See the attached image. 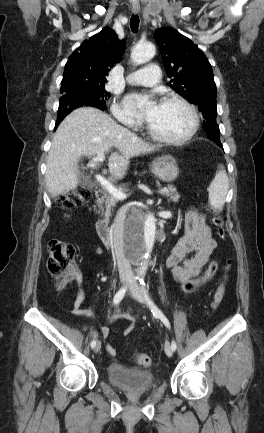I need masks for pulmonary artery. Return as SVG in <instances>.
<instances>
[{
    "instance_id": "obj_1",
    "label": "pulmonary artery",
    "mask_w": 264,
    "mask_h": 433,
    "mask_svg": "<svg viewBox=\"0 0 264 433\" xmlns=\"http://www.w3.org/2000/svg\"><path fill=\"white\" fill-rule=\"evenodd\" d=\"M160 69L156 64H150L147 67L133 72L127 77L130 84L153 86L160 81Z\"/></svg>"
}]
</instances>
